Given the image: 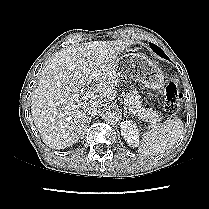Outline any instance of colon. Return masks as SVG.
Returning a JSON list of instances; mask_svg holds the SVG:
<instances>
[{
  "instance_id": "colon-1",
  "label": "colon",
  "mask_w": 209,
  "mask_h": 209,
  "mask_svg": "<svg viewBox=\"0 0 209 209\" xmlns=\"http://www.w3.org/2000/svg\"><path fill=\"white\" fill-rule=\"evenodd\" d=\"M182 102V93L174 82H169L164 91V109L168 114L176 113Z\"/></svg>"
}]
</instances>
